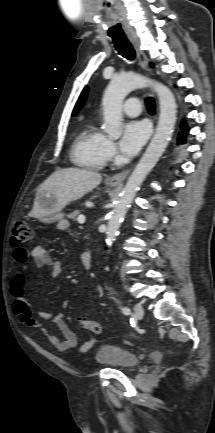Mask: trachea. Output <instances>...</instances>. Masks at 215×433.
Returning a JSON list of instances; mask_svg holds the SVG:
<instances>
[{"instance_id":"3493384b","label":"trachea","mask_w":215,"mask_h":433,"mask_svg":"<svg viewBox=\"0 0 215 433\" xmlns=\"http://www.w3.org/2000/svg\"><path fill=\"white\" fill-rule=\"evenodd\" d=\"M113 39V43L115 45L118 53L128 60H133L135 58V51L133 49L132 44L128 41L125 35H114L111 36ZM147 109L150 113L155 112V102L153 98L148 97L145 100Z\"/></svg>"}]
</instances>
